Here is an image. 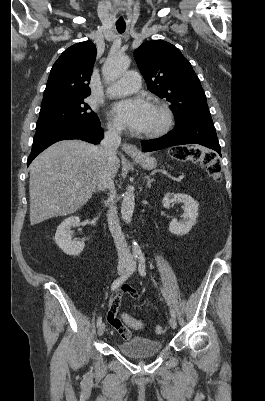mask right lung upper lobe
<instances>
[{"label": "right lung upper lobe", "instance_id": "1", "mask_svg": "<svg viewBox=\"0 0 265 401\" xmlns=\"http://www.w3.org/2000/svg\"><path fill=\"white\" fill-rule=\"evenodd\" d=\"M96 53L91 41L80 42L66 49L50 71L42 104L90 95L88 84Z\"/></svg>", "mask_w": 265, "mask_h": 401}]
</instances>
